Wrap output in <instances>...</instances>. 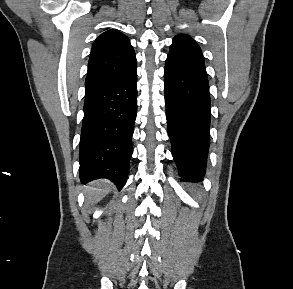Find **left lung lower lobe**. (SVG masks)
<instances>
[{
  "mask_svg": "<svg viewBox=\"0 0 293 289\" xmlns=\"http://www.w3.org/2000/svg\"><path fill=\"white\" fill-rule=\"evenodd\" d=\"M168 134L184 181L203 180L209 151L211 102L204 62L168 55L164 70Z\"/></svg>",
  "mask_w": 293,
  "mask_h": 289,
  "instance_id": "left-lung-lower-lobe-1",
  "label": "left lung lower lobe"
}]
</instances>
